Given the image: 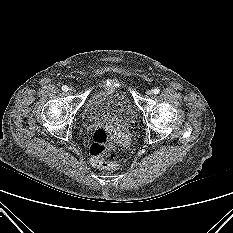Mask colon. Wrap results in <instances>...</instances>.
<instances>
[{"mask_svg": "<svg viewBox=\"0 0 233 233\" xmlns=\"http://www.w3.org/2000/svg\"><path fill=\"white\" fill-rule=\"evenodd\" d=\"M118 144L111 136L110 132L97 127L92 132V143L90 145V155L93 164L102 169H117L119 164L115 161L108 162L107 159L113 157V151Z\"/></svg>", "mask_w": 233, "mask_h": 233, "instance_id": "colon-1", "label": "colon"}]
</instances>
